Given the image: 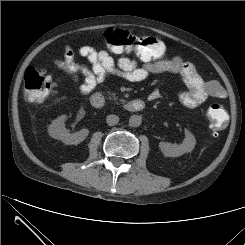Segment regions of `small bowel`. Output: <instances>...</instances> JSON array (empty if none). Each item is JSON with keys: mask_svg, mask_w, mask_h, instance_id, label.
I'll return each mask as SVG.
<instances>
[{"mask_svg": "<svg viewBox=\"0 0 245 245\" xmlns=\"http://www.w3.org/2000/svg\"><path fill=\"white\" fill-rule=\"evenodd\" d=\"M76 53L86 58L89 66L77 63ZM53 63L69 75L70 80L77 85V90L82 95L91 93L109 76H117L127 82H142L153 74L171 73L179 75L187 87L178 96L180 103L186 107H197L208 98L225 96L221 85L215 81H205L191 62L178 56L138 63L128 57L115 60L107 51L88 45L79 46L76 50L66 45L63 58H56ZM79 76L83 77L82 82H79ZM149 97L155 100L159 97V93L153 91Z\"/></svg>", "mask_w": 245, "mask_h": 245, "instance_id": "c3829d8e", "label": "small bowel"}]
</instances>
